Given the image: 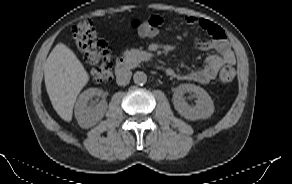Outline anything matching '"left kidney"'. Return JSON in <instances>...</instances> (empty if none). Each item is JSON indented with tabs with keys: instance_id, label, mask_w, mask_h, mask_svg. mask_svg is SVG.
I'll return each instance as SVG.
<instances>
[{
	"instance_id": "left-kidney-1",
	"label": "left kidney",
	"mask_w": 292,
	"mask_h": 184,
	"mask_svg": "<svg viewBox=\"0 0 292 184\" xmlns=\"http://www.w3.org/2000/svg\"><path fill=\"white\" fill-rule=\"evenodd\" d=\"M192 92L196 97V105L190 106L183 98V94ZM173 104L181 116L189 120L209 118L214 112V104L209 94L194 84L179 85L173 95Z\"/></svg>"
}]
</instances>
